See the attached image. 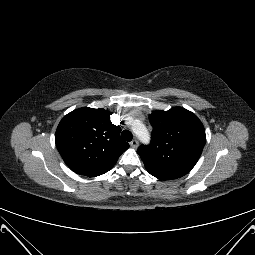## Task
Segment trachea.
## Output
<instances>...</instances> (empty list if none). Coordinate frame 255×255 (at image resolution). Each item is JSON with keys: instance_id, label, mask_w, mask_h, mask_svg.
<instances>
[{"instance_id": "1", "label": "trachea", "mask_w": 255, "mask_h": 255, "mask_svg": "<svg viewBox=\"0 0 255 255\" xmlns=\"http://www.w3.org/2000/svg\"><path fill=\"white\" fill-rule=\"evenodd\" d=\"M121 137H122L123 140L129 142V141L132 140L133 135H132V133H131L130 131L124 130V131L121 133Z\"/></svg>"}]
</instances>
